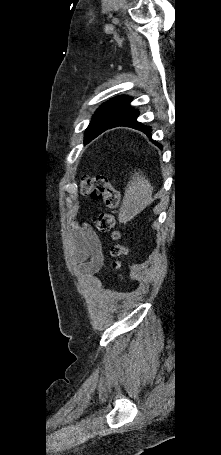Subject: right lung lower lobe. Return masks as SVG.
Listing matches in <instances>:
<instances>
[{"mask_svg": "<svg viewBox=\"0 0 221 455\" xmlns=\"http://www.w3.org/2000/svg\"><path fill=\"white\" fill-rule=\"evenodd\" d=\"M138 115H139V112L135 109H132L129 112H127L125 115H123L110 128L117 127V126L132 127V128L138 129L140 131H143L150 137V132H151L150 127H146V126L142 125L141 123L137 122L136 118Z\"/></svg>", "mask_w": 221, "mask_h": 455, "instance_id": "1", "label": "right lung lower lobe"}]
</instances>
